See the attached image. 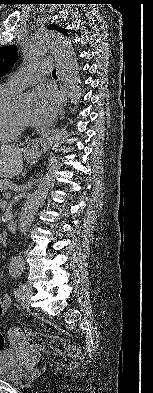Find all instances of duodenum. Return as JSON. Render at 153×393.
<instances>
[{"label":"duodenum","instance_id":"obj_1","mask_svg":"<svg viewBox=\"0 0 153 393\" xmlns=\"http://www.w3.org/2000/svg\"><path fill=\"white\" fill-rule=\"evenodd\" d=\"M7 229L9 232H16L18 230V224L16 222V220H11L10 222H8L7 224Z\"/></svg>","mask_w":153,"mask_h":393}]
</instances>
